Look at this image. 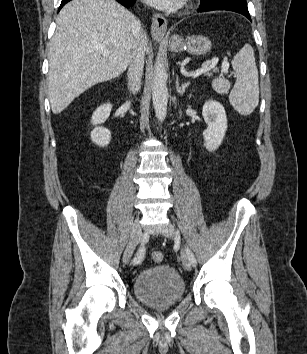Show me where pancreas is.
<instances>
[{
  "label": "pancreas",
  "mask_w": 307,
  "mask_h": 354,
  "mask_svg": "<svg viewBox=\"0 0 307 354\" xmlns=\"http://www.w3.org/2000/svg\"><path fill=\"white\" fill-rule=\"evenodd\" d=\"M218 70L216 69V70H214V72H217Z\"/></svg>",
  "instance_id": "1"
}]
</instances>
